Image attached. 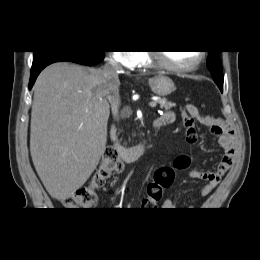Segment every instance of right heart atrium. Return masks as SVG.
Instances as JSON below:
<instances>
[{"mask_svg": "<svg viewBox=\"0 0 260 260\" xmlns=\"http://www.w3.org/2000/svg\"><path fill=\"white\" fill-rule=\"evenodd\" d=\"M112 58L125 68H134L142 62L143 56L138 51H117L112 53Z\"/></svg>", "mask_w": 260, "mask_h": 260, "instance_id": "right-heart-atrium-1", "label": "right heart atrium"}]
</instances>
